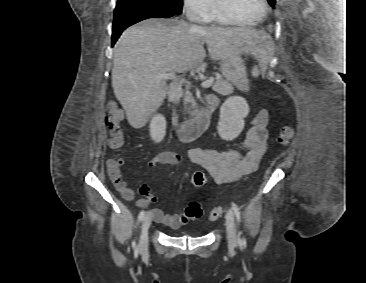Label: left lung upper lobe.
Segmentation results:
<instances>
[{
    "instance_id": "1",
    "label": "left lung upper lobe",
    "mask_w": 366,
    "mask_h": 283,
    "mask_svg": "<svg viewBox=\"0 0 366 283\" xmlns=\"http://www.w3.org/2000/svg\"><path fill=\"white\" fill-rule=\"evenodd\" d=\"M269 4L274 8L275 7V0H267Z\"/></svg>"
}]
</instances>
